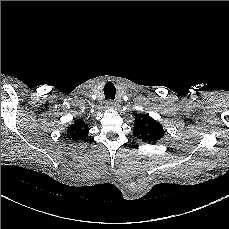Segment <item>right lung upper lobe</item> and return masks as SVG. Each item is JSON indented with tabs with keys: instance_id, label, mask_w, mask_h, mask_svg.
<instances>
[{
	"instance_id": "right-lung-upper-lobe-1",
	"label": "right lung upper lobe",
	"mask_w": 229,
	"mask_h": 229,
	"mask_svg": "<svg viewBox=\"0 0 229 229\" xmlns=\"http://www.w3.org/2000/svg\"><path fill=\"white\" fill-rule=\"evenodd\" d=\"M88 131V125L83 119L75 120L74 124L67 129L68 136L73 141L85 138L88 135Z\"/></svg>"
}]
</instances>
